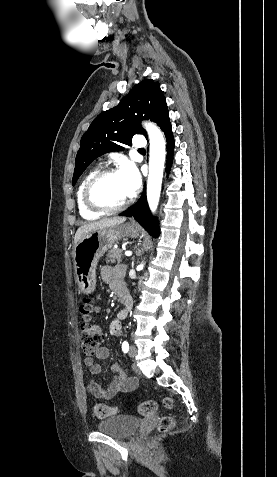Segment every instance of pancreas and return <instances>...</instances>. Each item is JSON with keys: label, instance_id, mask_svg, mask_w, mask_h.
I'll list each match as a JSON object with an SVG mask.
<instances>
[{"label": "pancreas", "instance_id": "obj_1", "mask_svg": "<svg viewBox=\"0 0 277 477\" xmlns=\"http://www.w3.org/2000/svg\"><path fill=\"white\" fill-rule=\"evenodd\" d=\"M107 262H120L121 261V250L112 248L106 255Z\"/></svg>", "mask_w": 277, "mask_h": 477}]
</instances>
